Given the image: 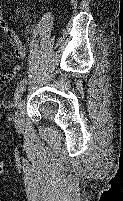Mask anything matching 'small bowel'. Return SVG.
<instances>
[{
  "label": "small bowel",
  "mask_w": 123,
  "mask_h": 201,
  "mask_svg": "<svg viewBox=\"0 0 123 201\" xmlns=\"http://www.w3.org/2000/svg\"><path fill=\"white\" fill-rule=\"evenodd\" d=\"M0 12H1V10H0ZM0 28L6 33V35L10 39L17 58L20 60L25 59V57H26L25 48H24L21 40L19 39L18 35L15 33V31L11 30L9 28L8 24L1 19H0ZM20 71H21V66L18 65L16 67H14L11 72L0 75V76L4 77L6 79H10V78L14 77L15 75H17Z\"/></svg>",
  "instance_id": "small-bowel-1"
}]
</instances>
